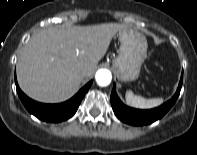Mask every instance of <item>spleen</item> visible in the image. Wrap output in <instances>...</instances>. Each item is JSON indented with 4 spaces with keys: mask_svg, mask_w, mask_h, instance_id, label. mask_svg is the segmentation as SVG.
Instances as JSON below:
<instances>
[{
    "mask_svg": "<svg viewBox=\"0 0 197 155\" xmlns=\"http://www.w3.org/2000/svg\"><path fill=\"white\" fill-rule=\"evenodd\" d=\"M125 98L128 105L140 109L157 107L163 103L162 98L145 99L141 96L134 95L131 90L126 92Z\"/></svg>",
    "mask_w": 197,
    "mask_h": 155,
    "instance_id": "obj_1",
    "label": "spleen"
}]
</instances>
